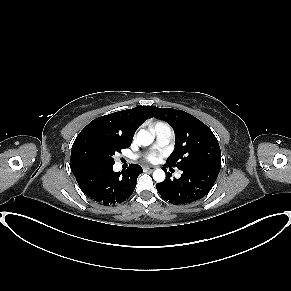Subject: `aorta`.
<instances>
[{
    "mask_svg": "<svg viewBox=\"0 0 291 291\" xmlns=\"http://www.w3.org/2000/svg\"><path fill=\"white\" fill-rule=\"evenodd\" d=\"M138 142L143 146L150 145L154 137L147 131L141 129L137 135ZM153 179L156 182H162L165 180V172L162 169H157L153 172Z\"/></svg>",
    "mask_w": 291,
    "mask_h": 291,
    "instance_id": "762f6f07",
    "label": "aorta"
}]
</instances>
